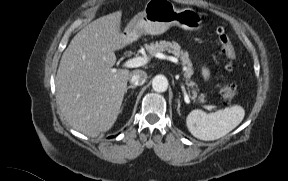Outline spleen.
<instances>
[{
	"mask_svg": "<svg viewBox=\"0 0 288 181\" xmlns=\"http://www.w3.org/2000/svg\"><path fill=\"white\" fill-rule=\"evenodd\" d=\"M245 116L244 109L233 105L214 113H206L195 109L186 118L190 133L205 141L217 140L236 128Z\"/></svg>",
	"mask_w": 288,
	"mask_h": 181,
	"instance_id": "spleen-1",
	"label": "spleen"
}]
</instances>
